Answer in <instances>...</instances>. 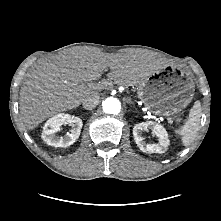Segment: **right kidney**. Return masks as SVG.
Segmentation results:
<instances>
[{
  "mask_svg": "<svg viewBox=\"0 0 221 221\" xmlns=\"http://www.w3.org/2000/svg\"><path fill=\"white\" fill-rule=\"evenodd\" d=\"M63 124H69L72 126V129L70 132H67L64 137H59L56 133L60 131V127ZM82 126L83 122L81 118L60 113L46 121L43 127L42 138L48 145L68 147L79 138Z\"/></svg>",
  "mask_w": 221,
  "mask_h": 221,
  "instance_id": "obj_1",
  "label": "right kidney"
}]
</instances>
